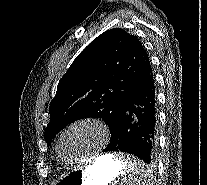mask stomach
Here are the masks:
<instances>
[{"mask_svg": "<svg viewBox=\"0 0 207 185\" xmlns=\"http://www.w3.org/2000/svg\"><path fill=\"white\" fill-rule=\"evenodd\" d=\"M121 170L122 164L116 156L104 154L91 165L58 178L53 185H109Z\"/></svg>", "mask_w": 207, "mask_h": 185, "instance_id": "1", "label": "stomach"}]
</instances>
